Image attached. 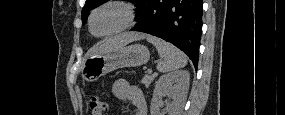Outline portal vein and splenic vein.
I'll use <instances>...</instances> for the list:
<instances>
[{"mask_svg":"<svg viewBox=\"0 0 285 115\" xmlns=\"http://www.w3.org/2000/svg\"><path fill=\"white\" fill-rule=\"evenodd\" d=\"M148 72H149V73H152V70H151V69H149V70H148Z\"/></svg>","mask_w":285,"mask_h":115,"instance_id":"18ae733b","label":"portal vein and splenic vein"}]
</instances>
